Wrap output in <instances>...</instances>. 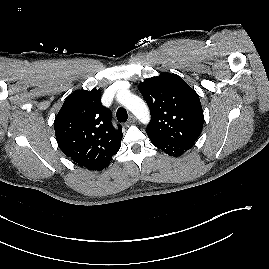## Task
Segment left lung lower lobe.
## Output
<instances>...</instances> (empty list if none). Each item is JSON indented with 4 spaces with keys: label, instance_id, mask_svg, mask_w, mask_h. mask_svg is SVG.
Returning <instances> with one entry per match:
<instances>
[{
    "label": "left lung lower lobe",
    "instance_id": "left-lung-lower-lobe-1",
    "mask_svg": "<svg viewBox=\"0 0 269 269\" xmlns=\"http://www.w3.org/2000/svg\"><path fill=\"white\" fill-rule=\"evenodd\" d=\"M152 144L157 148L164 151L166 154L170 156H180L188 149L192 148L194 143H169V142H159L155 140H151Z\"/></svg>",
    "mask_w": 269,
    "mask_h": 269
}]
</instances>
